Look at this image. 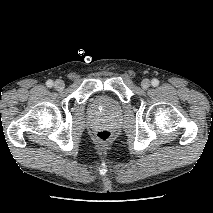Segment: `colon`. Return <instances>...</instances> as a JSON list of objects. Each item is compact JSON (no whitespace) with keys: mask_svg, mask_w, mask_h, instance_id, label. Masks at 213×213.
<instances>
[{"mask_svg":"<svg viewBox=\"0 0 213 213\" xmlns=\"http://www.w3.org/2000/svg\"><path fill=\"white\" fill-rule=\"evenodd\" d=\"M96 141L101 145H107L112 140V133L109 130H99L95 133Z\"/></svg>","mask_w":213,"mask_h":213,"instance_id":"1","label":"colon"}]
</instances>
